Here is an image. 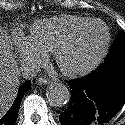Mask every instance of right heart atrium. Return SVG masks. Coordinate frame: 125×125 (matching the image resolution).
Wrapping results in <instances>:
<instances>
[{"label":"right heart atrium","instance_id":"right-heart-atrium-1","mask_svg":"<svg viewBox=\"0 0 125 125\" xmlns=\"http://www.w3.org/2000/svg\"><path fill=\"white\" fill-rule=\"evenodd\" d=\"M15 46L22 62L28 67H35L45 57V54L35 46L28 35H19Z\"/></svg>","mask_w":125,"mask_h":125}]
</instances>
